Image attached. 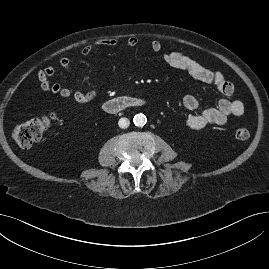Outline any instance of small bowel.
I'll list each match as a JSON object with an SVG mask.
<instances>
[{"label":"small bowel","instance_id":"small-bowel-1","mask_svg":"<svg viewBox=\"0 0 269 269\" xmlns=\"http://www.w3.org/2000/svg\"><path fill=\"white\" fill-rule=\"evenodd\" d=\"M118 41L114 38L101 40L95 44H88L82 48V55L89 56L96 45L106 47L117 46ZM126 45L134 48L138 45V39L130 37L126 41ZM150 48L154 52H162V59L165 64L172 68L182 70L189 74L192 78L213 84L225 96H230L234 92L233 84L228 81L219 71H212L194 59L180 51L165 50L162 43L158 40L150 42ZM60 66L66 71L71 72V62L66 56L60 59ZM55 74L53 66H46L37 73V79L41 89L46 93L58 94L64 98H72L79 103H88L94 100L99 90L97 88L89 91H81L71 87H64L51 79ZM198 99L194 95H186L182 99V105L187 110H194L198 107ZM245 112V105L240 100L220 99L215 107L208 108L199 114L191 115L186 118L185 125L191 129L199 130L207 125H225L231 116H241Z\"/></svg>","mask_w":269,"mask_h":269}]
</instances>
